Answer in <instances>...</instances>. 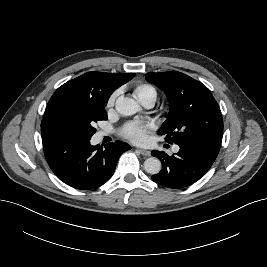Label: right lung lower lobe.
Returning <instances> with one entry per match:
<instances>
[{
  "mask_svg": "<svg viewBox=\"0 0 267 267\" xmlns=\"http://www.w3.org/2000/svg\"><path fill=\"white\" fill-rule=\"evenodd\" d=\"M46 161L65 184L82 190L97 188L114 174L121 154L131 147L123 142L102 148L92 146L90 138L69 136L60 132H41Z\"/></svg>",
  "mask_w": 267,
  "mask_h": 267,
  "instance_id": "obj_1",
  "label": "right lung lower lobe"
}]
</instances>
